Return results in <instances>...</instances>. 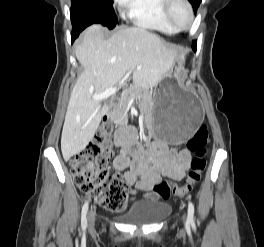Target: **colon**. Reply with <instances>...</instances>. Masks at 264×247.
Masks as SVG:
<instances>
[{"label": "colon", "instance_id": "obj_1", "mask_svg": "<svg viewBox=\"0 0 264 247\" xmlns=\"http://www.w3.org/2000/svg\"><path fill=\"white\" fill-rule=\"evenodd\" d=\"M112 130L109 120L99 126L90 145L72 158L71 174L79 190L99 206L109 211L123 212L127 207L126 184L123 176L109 166L113 155ZM207 142L208 128L201 125L187 143L188 150L195 156L190 163L186 183L177 187L160 182L154 187L156 196L167 199L192 191L206 167Z\"/></svg>", "mask_w": 264, "mask_h": 247}]
</instances>
